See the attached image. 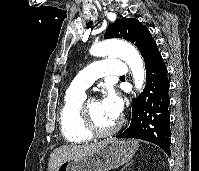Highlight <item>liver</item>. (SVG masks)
<instances>
[{"label": "liver", "mask_w": 199, "mask_h": 171, "mask_svg": "<svg viewBox=\"0 0 199 171\" xmlns=\"http://www.w3.org/2000/svg\"><path fill=\"white\" fill-rule=\"evenodd\" d=\"M106 141L91 143L85 145H66L55 149L49 159L48 171H56L58 167L65 161L79 158L95 152L101 148Z\"/></svg>", "instance_id": "1"}]
</instances>
